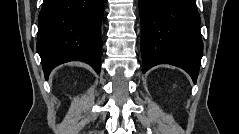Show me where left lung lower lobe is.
Masks as SVG:
<instances>
[{
  "label": "left lung lower lobe",
  "mask_w": 239,
  "mask_h": 134,
  "mask_svg": "<svg viewBox=\"0 0 239 134\" xmlns=\"http://www.w3.org/2000/svg\"><path fill=\"white\" fill-rule=\"evenodd\" d=\"M139 11L142 72L170 64L196 83L203 52L196 0H139Z\"/></svg>",
  "instance_id": "obj_1"
}]
</instances>
